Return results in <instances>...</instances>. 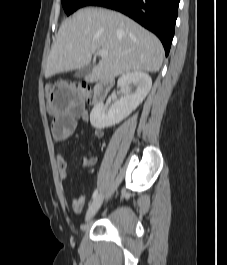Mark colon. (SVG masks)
I'll return each mask as SVG.
<instances>
[{
	"instance_id": "5ec220e1",
	"label": "colon",
	"mask_w": 227,
	"mask_h": 265,
	"mask_svg": "<svg viewBox=\"0 0 227 265\" xmlns=\"http://www.w3.org/2000/svg\"><path fill=\"white\" fill-rule=\"evenodd\" d=\"M56 87H78V91L84 92V99L90 98V89L81 84H66V83H59V84H53L49 83L44 86V95L48 102H50L51 96H53V91H56Z\"/></svg>"
}]
</instances>
